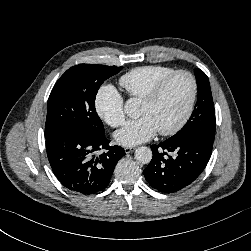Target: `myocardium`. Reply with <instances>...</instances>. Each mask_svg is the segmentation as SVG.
<instances>
[{"instance_id": "myocardium-1", "label": "myocardium", "mask_w": 251, "mask_h": 251, "mask_svg": "<svg viewBox=\"0 0 251 251\" xmlns=\"http://www.w3.org/2000/svg\"><path fill=\"white\" fill-rule=\"evenodd\" d=\"M184 75L186 76L190 83H191V94H190V99L188 102V105L186 107V110L181 117V119L171 128L164 129V130H158V133L162 136H170L173 134H176L179 132L188 122L190 119L194 106L196 103L197 99V94H198V84L195 76L187 71V70H177L164 78L162 81H160L158 84H156L142 99L141 102L145 104H151L155 102L161 94L164 92V90L167 88V86L172 82L173 79H175L177 76Z\"/></svg>"}]
</instances>
